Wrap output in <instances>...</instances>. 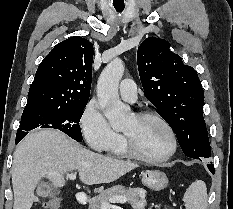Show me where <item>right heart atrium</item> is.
<instances>
[{
  "label": "right heart atrium",
  "instance_id": "d8ad5b80",
  "mask_svg": "<svg viewBox=\"0 0 233 209\" xmlns=\"http://www.w3.org/2000/svg\"><path fill=\"white\" fill-rule=\"evenodd\" d=\"M79 124L86 143L93 150L106 151L122 139L110 126L95 99L84 107Z\"/></svg>",
  "mask_w": 233,
  "mask_h": 209
}]
</instances>
